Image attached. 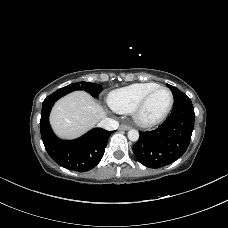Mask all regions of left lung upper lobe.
<instances>
[{
	"label": "left lung upper lobe",
	"mask_w": 228,
	"mask_h": 228,
	"mask_svg": "<svg viewBox=\"0 0 228 228\" xmlns=\"http://www.w3.org/2000/svg\"><path fill=\"white\" fill-rule=\"evenodd\" d=\"M167 86L170 88V90H171V92H172V94H173V96H174V99H177V98H179L180 96L184 95V93L181 92L180 90H178L176 87L171 86V85H169V84H167Z\"/></svg>",
	"instance_id": "obj_1"
}]
</instances>
